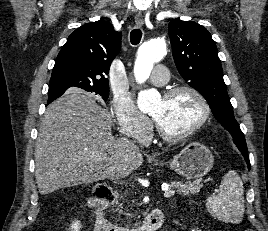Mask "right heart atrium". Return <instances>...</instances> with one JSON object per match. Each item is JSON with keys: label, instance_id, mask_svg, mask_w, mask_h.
<instances>
[{"label": "right heart atrium", "instance_id": "1", "mask_svg": "<svg viewBox=\"0 0 268 231\" xmlns=\"http://www.w3.org/2000/svg\"><path fill=\"white\" fill-rule=\"evenodd\" d=\"M111 112L119 132L140 144L146 143L153 130L152 122L138 110L129 95L114 97Z\"/></svg>", "mask_w": 268, "mask_h": 231}]
</instances>
